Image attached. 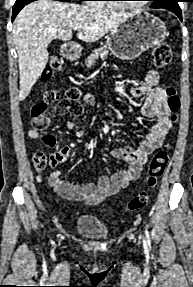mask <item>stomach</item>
<instances>
[{
    "instance_id": "stomach-1",
    "label": "stomach",
    "mask_w": 193,
    "mask_h": 287,
    "mask_svg": "<svg viewBox=\"0 0 193 287\" xmlns=\"http://www.w3.org/2000/svg\"><path fill=\"white\" fill-rule=\"evenodd\" d=\"M167 36L165 23L144 11L132 14L107 36V48L120 60H133L162 43ZM74 57L73 54H68Z\"/></svg>"
}]
</instances>
